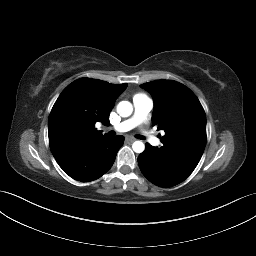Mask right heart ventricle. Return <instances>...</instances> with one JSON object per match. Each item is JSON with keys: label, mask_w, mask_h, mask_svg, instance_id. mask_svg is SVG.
Returning a JSON list of instances; mask_svg holds the SVG:
<instances>
[{"label": "right heart ventricle", "mask_w": 256, "mask_h": 256, "mask_svg": "<svg viewBox=\"0 0 256 256\" xmlns=\"http://www.w3.org/2000/svg\"><path fill=\"white\" fill-rule=\"evenodd\" d=\"M136 96H143V95L138 94V95H136ZM136 96H135V97H136Z\"/></svg>", "instance_id": "e07e8e85"}]
</instances>
